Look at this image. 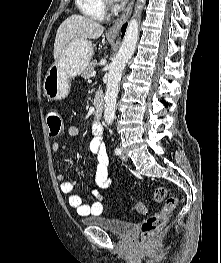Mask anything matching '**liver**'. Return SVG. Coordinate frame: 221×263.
<instances>
[{
	"instance_id": "obj_1",
	"label": "liver",
	"mask_w": 221,
	"mask_h": 263,
	"mask_svg": "<svg viewBox=\"0 0 221 263\" xmlns=\"http://www.w3.org/2000/svg\"><path fill=\"white\" fill-rule=\"evenodd\" d=\"M104 32V27L87 17L71 15L59 26L54 43V58L57 60L65 47L77 39H98Z\"/></svg>"
}]
</instances>
